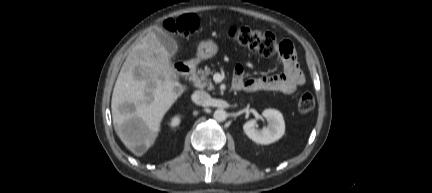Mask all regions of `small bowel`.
<instances>
[{
    "instance_id": "obj_1",
    "label": "small bowel",
    "mask_w": 432,
    "mask_h": 193,
    "mask_svg": "<svg viewBox=\"0 0 432 193\" xmlns=\"http://www.w3.org/2000/svg\"><path fill=\"white\" fill-rule=\"evenodd\" d=\"M282 42L290 45L289 54H279L283 65V72L280 74L245 79L243 66L237 64L234 69V84L238 89L246 91H276L285 95H290L306 82V77L297 62L292 44L289 41Z\"/></svg>"
}]
</instances>
